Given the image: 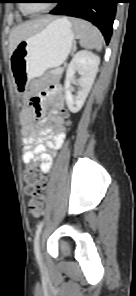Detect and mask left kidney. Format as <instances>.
<instances>
[{
    "mask_svg": "<svg viewBox=\"0 0 136 296\" xmlns=\"http://www.w3.org/2000/svg\"><path fill=\"white\" fill-rule=\"evenodd\" d=\"M99 63V57L86 50H81L77 52L70 62L66 72L64 89L66 103L68 109L72 113L79 112L84 105L86 97L90 92L96 74L98 72ZM76 72H78V74L81 76L77 81L80 90L78 91L77 96H73L71 91V84L75 82L74 75Z\"/></svg>",
    "mask_w": 136,
    "mask_h": 296,
    "instance_id": "5707ae66",
    "label": "left kidney"
}]
</instances>
